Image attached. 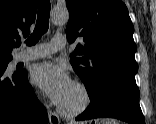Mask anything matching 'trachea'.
Returning <instances> with one entry per match:
<instances>
[{"label":"trachea","instance_id":"obj_1","mask_svg":"<svg viewBox=\"0 0 156 124\" xmlns=\"http://www.w3.org/2000/svg\"><path fill=\"white\" fill-rule=\"evenodd\" d=\"M50 1L43 0L38 9L37 23L34 32L27 39L26 43L28 46L35 45L41 36L48 31L49 28V15H50ZM20 40L17 45L20 46Z\"/></svg>","mask_w":156,"mask_h":124}]
</instances>
